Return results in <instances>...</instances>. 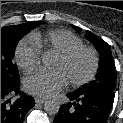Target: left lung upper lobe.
<instances>
[{
	"label": "left lung upper lobe",
	"mask_w": 123,
	"mask_h": 123,
	"mask_svg": "<svg viewBox=\"0 0 123 123\" xmlns=\"http://www.w3.org/2000/svg\"><path fill=\"white\" fill-rule=\"evenodd\" d=\"M76 31L80 28L72 25ZM86 38L92 42L100 55L99 69L96 79L79 91L83 92H98L114 96L116 73L114 60L112 58L111 48L102 38L87 31Z\"/></svg>",
	"instance_id": "1"
}]
</instances>
